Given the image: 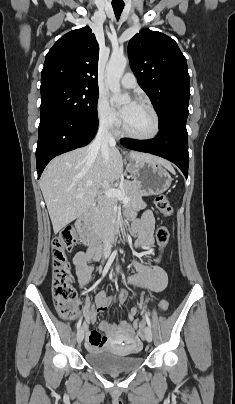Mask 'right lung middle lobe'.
<instances>
[{"mask_svg":"<svg viewBox=\"0 0 235 404\" xmlns=\"http://www.w3.org/2000/svg\"><path fill=\"white\" fill-rule=\"evenodd\" d=\"M40 117L63 114L74 118L97 117L98 90L54 82L41 85Z\"/></svg>","mask_w":235,"mask_h":404,"instance_id":"dd1d6c3e","label":"right lung middle lobe"}]
</instances>
